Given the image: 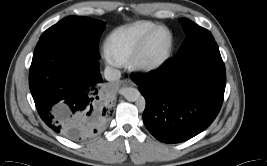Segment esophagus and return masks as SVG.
<instances>
[{"instance_id": "obj_1", "label": "esophagus", "mask_w": 267, "mask_h": 166, "mask_svg": "<svg viewBox=\"0 0 267 166\" xmlns=\"http://www.w3.org/2000/svg\"><path fill=\"white\" fill-rule=\"evenodd\" d=\"M128 83H130V84H131V83H132V81H131V80H128Z\"/></svg>"}]
</instances>
